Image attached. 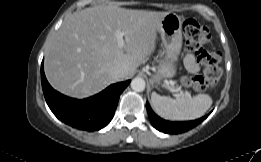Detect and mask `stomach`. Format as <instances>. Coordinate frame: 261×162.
<instances>
[{
    "instance_id": "obj_1",
    "label": "stomach",
    "mask_w": 261,
    "mask_h": 162,
    "mask_svg": "<svg viewBox=\"0 0 261 162\" xmlns=\"http://www.w3.org/2000/svg\"><path fill=\"white\" fill-rule=\"evenodd\" d=\"M164 45V59L159 62L153 83L162 78H171L176 74V62L182 48V19L175 13H168L158 29Z\"/></svg>"
}]
</instances>
